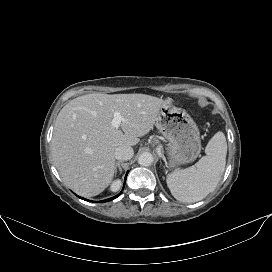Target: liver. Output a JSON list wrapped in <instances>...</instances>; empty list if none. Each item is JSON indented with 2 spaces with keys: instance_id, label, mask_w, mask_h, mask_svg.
<instances>
[{
  "instance_id": "6515ba94",
  "label": "liver",
  "mask_w": 272,
  "mask_h": 272,
  "mask_svg": "<svg viewBox=\"0 0 272 272\" xmlns=\"http://www.w3.org/2000/svg\"><path fill=\"white\" fill-rule=\"evenodd\" d=\"M164 100L146 94L93 93L77 97L59 112L51 153L63 182L83 197L100 194L116 172L114 152L134 146L149 133ZM125 121L112 125L114 113Z\"/></svg>"
}]
</instances>
